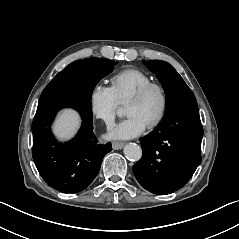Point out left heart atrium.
<instances>
[{
    "instance_id": "1",
    "label": "left heart atrium",
    "mask_w": 239,
    "mask_h": 239,
    "mask_svg": "<svg viewBox=\"0 0 239 239\" xmlns=\"http://www.w3.org/2000/svg\"><path fill=\"white\" fill-rule=\"evenodd\" d=\"M147 128V124L139 116L128 115L125 120L111 128L110 137L128 139L143 133Z\"/></svg>"
}]
</instances>
